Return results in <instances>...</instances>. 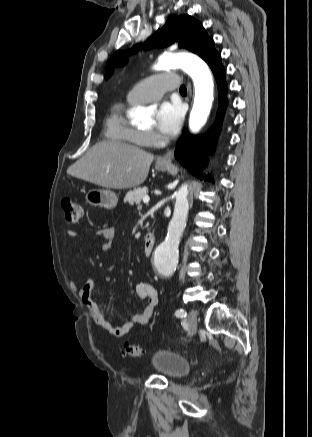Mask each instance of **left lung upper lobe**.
I'll use <instances>...</instances> for the list:
<instances>
[{"instance_id":"5c2ea615","label":"left lung upper lobe","mask_w":312,"mask_h":437,"mask_svg":"<svg viewBox=\"0 0 312 437\" xmlns=\"http://www.w3.org/2000/svg\"><path fill=\"white\" fill-rule=\"evenodd\" d=\"M179 40V47L198 54L206 62L217 51L214 41L206 34L203 26L189 15L171 16L165 25L159 29L148 44L155 47L168 46ZM135 49L132 50L134 52ZM127 56L122 51L116 52L106 65L105 78L108 79L114 70V65H124Z\"/></svg>"}]
</instances>
